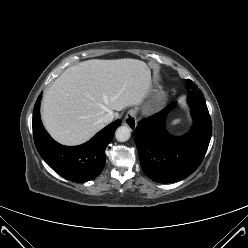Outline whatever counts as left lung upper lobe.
<instances>
[{
    "label": "left lung upper lobe",
    "mask_w": 248,
    "mask_h": 248,
    "mask_svg": "<svg viewBox=\"0 0 248 248\" xmlns=\"http://www.w3.org/2000/svg\"><path fill=\"white\" fill-rule=\"evenodd\" d=\"M187 89H189L190 91L199 90L197 89V86L191 80H187Z\"/></svg>",
    "instance_id": "left-lung-upper-lobe-1"
}]
</instances>
